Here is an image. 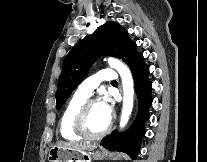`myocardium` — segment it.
Instances as JSON below:
<instances>
[{
	"instance_id": "1",
	"label": "myocardium",
	"mask_w": 207,
	"mask_h": 162,
	"mask_svg": "<svg viewBox=\"0 0 207 162\" xmlns=\"http://www.w3.org/2000/svg\"><path fill=\"white\" fill-rule=\"evenodd\" d=\"M100 103L98 99H87L76 111L73 122H72V129L73 131L80 137L85 139H100L104 137L112 128V119H110L108 125L104 130H102L100 133L92 134L89 133L86 129V115L94 104Z\"/></svg>"
}]
</instances>
